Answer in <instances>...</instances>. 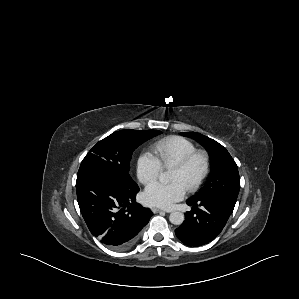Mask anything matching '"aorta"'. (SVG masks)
Segmentation results:
<instances>
[{
  "mask_svg": "<svg viewBox=\"0 0 299 299\" xmlns=\"http://www.w3.org/2000/svg\"><path fill=\"white\" fill-rule=\"evenodd\" d=\"M170 180V177L167 172H164L160 174L159 181L163 184L168 183ZM169 220L174 225H181L184 221V214L180 211H174L170 214Z\"/></svg>",
  "mask_w": 299,
  "mask_h": 299,
  "instance_id": "1",
  "label": "aorta"
}]
</instances>
